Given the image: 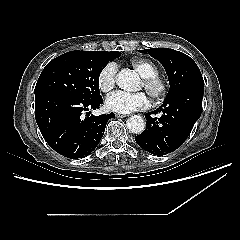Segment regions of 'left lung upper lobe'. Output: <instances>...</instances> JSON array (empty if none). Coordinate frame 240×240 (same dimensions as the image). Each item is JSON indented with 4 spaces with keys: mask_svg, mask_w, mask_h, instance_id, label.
Segmentation results:
<instances>
[{
    "mask_svg": "<svg viewBox=\"0 0 240 240\" xmlns=\"http://www.w3.org/2000/svg\"><path fill=\"white\" fill-rule=\"evenodd\" d=\"M140 52L157 59L165 68L170 83L167 98L184 88L204 84L198 66L188 55L168 48H151Z\"/></svg>",
    "mask_w": 240,
    "mask_h": 240,
    "instance_id": "left-lung-upper-lobe-1",
    "label": "left lung upper lobe"
}]
</instances>
